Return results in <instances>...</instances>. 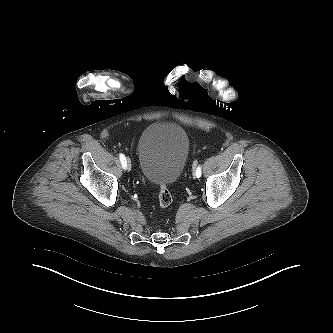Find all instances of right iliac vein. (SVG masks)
I'll return each instance as SVG.
<instances>
[{
	"label": "right iliac vein",
	"mask_w": 333,
	"mask_h": 333,
	"mask_svg": "<svg viewBox=\"0 0 333 333\" xmlns=\"http://www.w3.org/2000/svg\"><path fill=\"white\" fill-rule=\"evenodd\" d=\"M126 168L127 170H131V160L129 158L126 159Z\"/></svg>",
	"instance_id": "1"
}]
</instances>
